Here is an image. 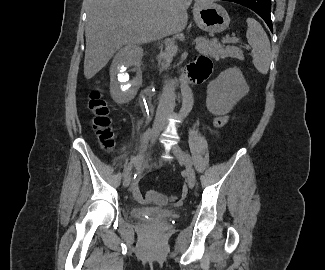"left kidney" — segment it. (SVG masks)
Returning a JSON list of instances; mask_svg holds the SVG:
<instances>
[{"instance_id":"left-kidney-1","label":"left kidney","mask_w":325,"mask_h":270,"mask_svg":"<svg viewBox=\"0 0 325 270\" xmlns=\"http://www.w3.org/2000/svg\"><path fill=\"white\" fill-rule=\"evenodd\" d=\"M249 92L240 69L229 68L207 86L206 106L214 115H224Z\"/></svg>"}]
</instances>
